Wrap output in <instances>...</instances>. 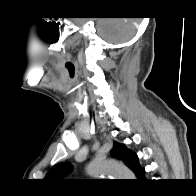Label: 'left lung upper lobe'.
Wrapping results in <instances>:
<instances>
[{"instance_id":"obj_1","label":"left lung upper lobe","mask_w":196,"mask_h":196,"mask_svg":"<svg viewBox=\"0 0 196 196\" xmlns=\"http://www.w3.org/2000/svg\"><path fill=\"white\" fill-rule=\"evenodd\" d=\"M112 157L123 161L131 170L134 166V160L137 157L135 153L128 150L125 145L114 142V147L111 150ZM71 169L69 163H60L55 165L45 176L47 181H56L67 174Z\"/></svg>"}]
</instances>
